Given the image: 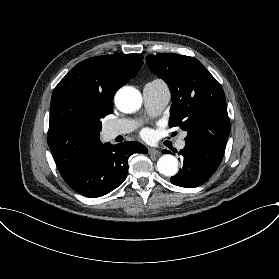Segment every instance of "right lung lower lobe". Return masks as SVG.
I'll return each instance as SVG.
<instances>
[{
	"mask_svg": "<svg viewBox=\"0 0 279 279\" xmlns=\"http://www.w3.org/2000/svg\"><path fill=\"white\" fill-rule=\"evenodd\" d=\"M133 153H147V149L136 141L107 143L78 168L61 176L76 192L89 198L100 197L123 183L127 177V161Z\"/></svg>",
	"mask_w": 279,
	"mask_h": 279,
	"instance_id": "1",
	"label": "right lung lower lobe"
}]
</instances>
